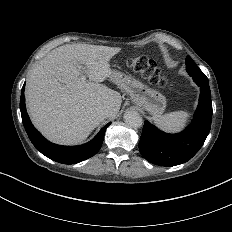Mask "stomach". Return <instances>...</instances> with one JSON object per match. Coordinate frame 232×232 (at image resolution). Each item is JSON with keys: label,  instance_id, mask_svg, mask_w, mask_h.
Wrapping results in <instances>:
<instances>
[{"label": "stomach", "instance_id": "obj_1", "mask_svg": "<svg viewBox=\"0 0 232 232\" xmlns=\"http://www.w3.org/2000/svg\"><path fill=\"white\" fill-rule=\"evenodd\" d=\"M110 79L131 97L134 104L142 107L153 116L161 115L164 112L166 98L159 91L116 70H111Z\"/></svg>", "mask_w": 232, "mask_h": 232}]
</instances>
